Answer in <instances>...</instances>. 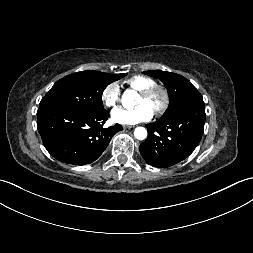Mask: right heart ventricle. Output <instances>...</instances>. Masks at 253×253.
<instances>
[{
    "label": "right heart ventricle",
    "instance_id": "right-heart-ventricle-1",
    "mask_svg": "<svg viewBox=\"0 0 253 253\" xmlns=\"http://www.w3.org/2000/svg\"><path fill=\"white\" fill-rule=\"evenodd\" d=\"M126 84L137 91L145 90L153 85H155V81L144 75H135L126 80Z\"/></svg>",
    "mask_w": 253,
    "mask_h": 253
}]
</instances>
